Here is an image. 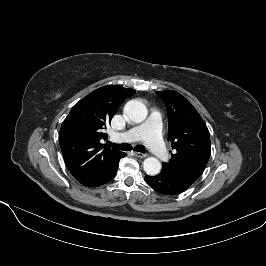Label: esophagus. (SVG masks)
<instances>
[{
    "label": "esophagus",
    "mask_w": 266,
    "mask_h": 266,
    "mask_svg": "<svg viewBox=\"0 0 266 266\" xmlns=\"http://www.w3.org/2000/svg\"><path fill=\"white\" fill-rule=\"evenodd\" d=\"M133 154H134L136 157H138V158H144V157H146V154L141 153V152H134Z\"/></svg>",
    "instance_id": "obj_1"
}]
</instances>
